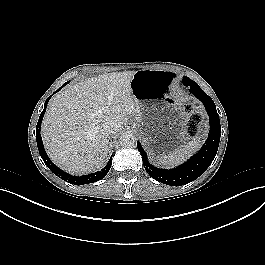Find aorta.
Wrapping results in <instances>:
<instances>
[{
	"label": "aorta",
	"mask_w": 265,
	"mask_h": 265,
	"mask_svg": "<svg viewBox=\"0 0 265 265\" xmlns=\"http://www.w3.org/2000/svg\"><path fill=\"white\" fill-rule=\"evenodd\" d=\"M135 136L131 132L121 134L119 141L122 146H132L135 143Z\"/></svg>",
	"instance_id": "obj_1"
}]
</instances>
